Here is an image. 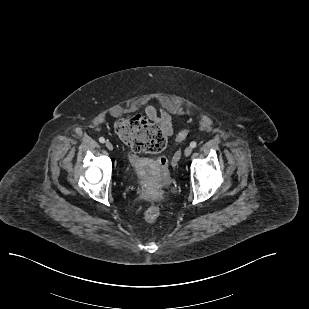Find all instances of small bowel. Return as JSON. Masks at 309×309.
I'll use <instances>...</instances> for the list:
<instances>
[{
    "label": "small bowel",
    "instance_id": "c3829d8e",
    "mask_svg": "<svg viewBox=\"0 0 309 309\" xmlns=\"http://www.w3.org/2000/svg\"><path fill=\"white\" fill-rule=\"evenodd\" d=\"M144 112L147 119L159 126L166 135H172V117L165 108L157 109L154 105H147Z\"/></svg>",
    "mask_w": 309,
    "mask_h": 309
}]
</instances>
